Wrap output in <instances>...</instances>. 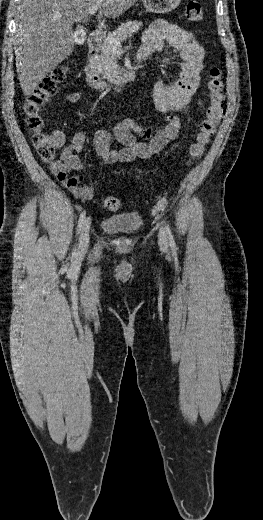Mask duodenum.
Returning a JSON list of instances; mask_svg holds the SVG:
<instances>
[{"instance_id": "410a0bca", "label": "duodenum", "mask_w": 263, "mask_h": 520, "mask_svg": "<svg viewBox=\"0 0 263 520\" xmlns=\"http://www.w3.org/2000/svg\"><path fill=\"white\" fill-rule=\"evenodd\" d=\"M100 49V35L98 32H93L88 38V53L83 66V72L88 86L99 93H113L118 94L125 90L129 84L134 80L133 73H126L120 80L115 82H107L96 70L93 58ZM140 59L145 58L138 55Z\"/></svg>"}]
</instances>
